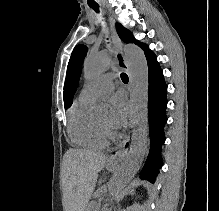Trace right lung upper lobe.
Returning a JSON list of instances; mask_svg holds the SVG:
<instances>
[{"label": "right lung upper lobe", "mask_w": 219, "mask_h": 211, "mask_svg": "<svg viewBox=\"0 0 219 211\" xmlns=\"http://www.w3.org/2000/svg\"><path fill=\"white\" fill-rule=\"evenodd\" d=\"M64 89H65V88H64ZM67 100H68L67 95H66V93L64 92V104H65V107L67 106Z\"/></svg>", "instance_id": "right-lung-upper-lobe-1"}]
</instances>
